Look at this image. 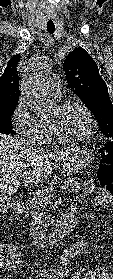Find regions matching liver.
<instances>
[{
	"label": "liver",
	"instance_id": "6515ba94",
	"mask_svg": "<svg viewBox=\"0 0 113 279\" xmlns=\"http://www.w3.org/2000/svg\"><path fill=\"white\" fill-rule=\"evenodd\" d=\"M71 151L48 153L26 145L15 136L0 134V207L8 195L17 191L19 172H26L25 184H38L52 173L58 163L65 161Z\"/></svg>",
	"mask_w": 113,
	"mask_h": 279
}]
</instances>
